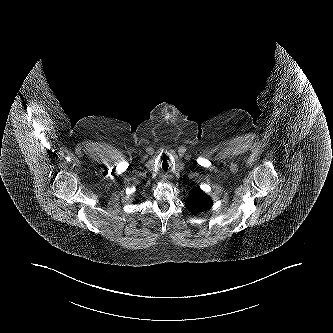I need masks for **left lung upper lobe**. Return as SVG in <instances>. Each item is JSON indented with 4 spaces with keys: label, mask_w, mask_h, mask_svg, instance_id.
Here are the masks:
<instances>
[{
    "label": "left lung upper lobe",
    "mask_w": 333,
    "mask_h": 333,
    "mask_svg": "<svg viewBox=\"0 0 333 333\" xmlns=\"http://www.w3.org/2000/svg\"><path fill=\"white\" fill-rule=\"evenodd\" d=\"M185 205L196 215L211 208L212 201L203 191L196 189L187 197Z\"/></svg>",
    "instance_id": "obj_1"
}]
</instances>
